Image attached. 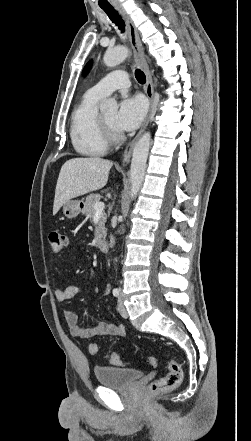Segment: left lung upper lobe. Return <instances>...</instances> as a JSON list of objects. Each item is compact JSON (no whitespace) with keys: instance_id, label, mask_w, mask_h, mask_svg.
I'll list each match as a JSON object with an SVG mask.
<instances>
[{"instance_id":"1","label":"left lung upper lobe","mask_w":251,"mask_h":441,"mask_svg":"<svg viewBox=\"0 0 251 441\" xmlns=\"http://www.w3.org/2000/svg\"><path fill=\"white\" fill-rule=\"evenodd\" d=\"M90 63L86 65L85 70L89 69Z\"/></svg>"}]
</instances>
